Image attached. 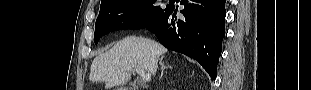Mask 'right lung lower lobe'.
<instances>
[{"label":"right lung lower lobe","instance_id":"right-lung-lower-lobe-1","mask_svg":"<svg viewBox=\"0 0 311 90\" xmlns=\"http://www.w3.org/2000/svg\"><path fill=\"white\" fill-rule=\"evenodd\" d=\"M183 19L176 17L174 5L146 28L166 48L197 60L216 78L217 64L225 35V0H181Z\"/></svg>","mask_w":311,"mask_h":90}]
</instances>
